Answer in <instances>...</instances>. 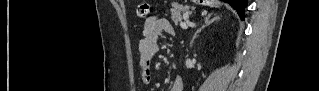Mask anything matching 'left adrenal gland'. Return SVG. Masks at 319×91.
Wrapping results in <instances>:
<instances>
[{"instance_id":"1","label":"left adrenal gland","mask_w":319,"mask_h":91,"mask_svg":"<svg viewBox=\"0 0 319 91\" xmlns=\"http://www.w3.org/2000/svg\"><path fill=\"white\" fill-rule=\"evenodd\" d=\"M211 15H208L206 18H205V22L204 24L197 29V31L194 33L193 37H192V40L190 42V46H192V43L194 42V39L198 36V34L206 27V26H209L210 24H212L214 21H217V20H220V17L217 16V17H213L211 19Z\"/></svg>"}]
</instances>
